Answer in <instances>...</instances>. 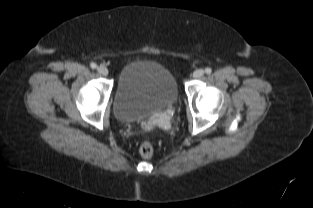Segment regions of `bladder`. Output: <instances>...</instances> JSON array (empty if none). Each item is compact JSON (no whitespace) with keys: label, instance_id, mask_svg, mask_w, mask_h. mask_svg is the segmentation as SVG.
Masks as SVG:
<instances>
[{"label":"bladder","instance_id":"obj_1","mask_svg":"<svg viewBox=\"0 0 313 208\" xmlns=\"http://www.w3.org/2000/svg\"><path fill=\"white\" fill-rule=\"evenodd\" d=\"M179 90L174 74L153 61L124 65L118 75L114 111L122 122L148 118L172 105Z\"/></svg>","mask_w":313,"mask_h":208}]
</instances>
